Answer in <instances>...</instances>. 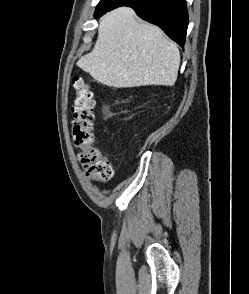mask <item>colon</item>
<instances>
[{"instance_id": "1", "label": "colon", "mask_w": 249, "mask_h": 294, "mask_svg": "<svg viewBox=\"0 0 249 294\" xmlns=\"http://www.w3.org/2000/svg\"><path fill=\"white\" fill-rule=\"evenodd\" d=\"M72 83L74 87L73 144L79 150L80 163L90 178L97 182L108 181L113 175V168L110 160L96 145L93 93L89 84L81 77L74 76Z\"/></svg>"}]
</instances>
